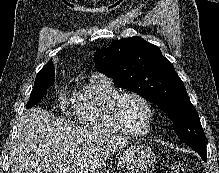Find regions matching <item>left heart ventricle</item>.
Wrapping results in <instances>:
<instances>
[{"instance_id": "1", "label": "left heart ventricle", "mask_w": 219, "mask_h": 173, "mask_svg": "<svg viewBox=\"0 0 219 173\" xmlns=\"http://www.w3.org/2000/svg\"><path fill=\"white\" fill-rule=\"evenodd\" d=\"M120 117L122 123L128 129L142 131L147 126L149 113L146 106L139 99L128 97L121 104Z\"/></svg>"}]
</instances>
